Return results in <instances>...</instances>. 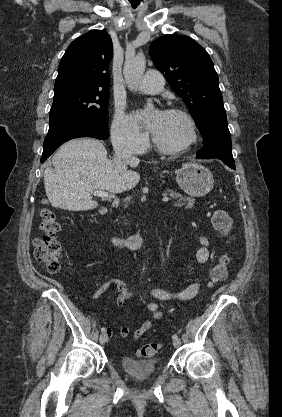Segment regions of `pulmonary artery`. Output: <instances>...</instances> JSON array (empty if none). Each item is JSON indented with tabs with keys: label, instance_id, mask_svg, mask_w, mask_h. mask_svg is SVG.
<instances>
[{
	"label": "pulmonary artery",
	"instance_id": "pulmonary-artery-1",
	"mask_svg": "<svg viewBox=\"0 0 282 417\" xmlns=\"http://www.w3.org/2000/svg\"><path fill=\"white\" fill-rule=\"evenodd\" d=\"M164 77L157 70H148V72L139 81L136 89L145 94H156L164 87Z\"/></svg>",
	"mask_w": 282,
	"mask_h": 417
}]
</instances>
